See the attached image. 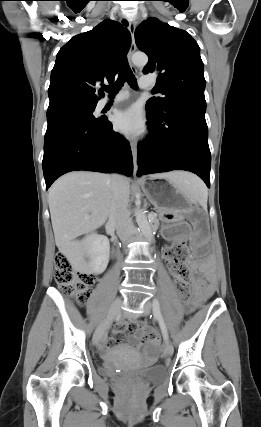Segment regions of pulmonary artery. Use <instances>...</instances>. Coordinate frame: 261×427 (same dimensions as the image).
<instances>
[{
  "label": "pulmonary artery",
  "mask_w": 261,
  "mask_h": 427,
  "mask_svg": "<svg viewBox=\"0 0 261 427\" xmlns=\"http://www.w3.org/2000/svg\"><path fill=\"white\" fill-rule=\"evenodd\" d=\"M139 85L141 88L147 89V88H150L154 85V81L148 77H143L140 79ZM127 98H128V93L123 92V93L117 94L116 96H114L112 98L107 97V98L102 99L100 101V106L104 107V106L108 105L109 103H118V102H121Z\"/></svg>",
  "instance_id": "1"
}]
</instances>
